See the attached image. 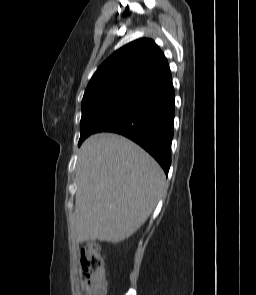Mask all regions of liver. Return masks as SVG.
<instances>
[{
  "label": "liver",
  "mask_w": 256,
  "mask_h": 295,
  "mask_svg": "<svg viewBox=\"0 0 256 295\" xmlns=\"http://www.w3.org/2000/svg\"><path fill=\"white\" fill-rule=\"evenodd\" d=\"M76 243H117L134 234L165 189L160 165L131 140L94 134L82 144L76 165Z\"/></svg>",
  "instance_id": "obj_1"
}]
</instances>
